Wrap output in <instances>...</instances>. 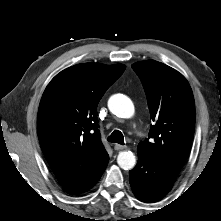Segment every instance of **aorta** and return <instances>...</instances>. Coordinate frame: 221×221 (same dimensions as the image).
I'll use <instances>...</instances> for the list:
<instances>
[{
	"mask_svg": "<svg viewBox=\"0 0 221 221\" xmlns=\"http://www.w3.org/2000/svg\"><path fill=\"white\" fill-rule=\"evenodd\" d=\"M111 113L120 118H131L134 115V105L130 98L123 94H115L108 101ZM118 165L124 170H131L136 164L135 155L131 151H122L117 157Z\"/></svg>",
	"mask_w": 221,
	"mask_h": 221,
	"instance_id": "762f6f07",
	"label": "aorta"
}]
</instances>
